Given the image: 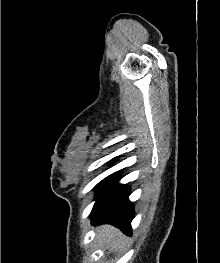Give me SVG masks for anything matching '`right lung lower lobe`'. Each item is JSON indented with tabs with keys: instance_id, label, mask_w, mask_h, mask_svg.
I'll return each instance as SVG.
<instances>
[{
	"instance_id": "1",
	"label": "right lung lower lobe",
	"mask_w": 220,
	"mask_h": 263,
	"mask_svg": "<svg viewBox=\"0 0 220 263\" xmlns=\"http://www.w3.org/2000/svg\"><path fill=\"white\" fill-rule=\"evenodd\" d=\"M119 173L116 172L98 185L96 203L91 212L93 225L110 223L131 236V221L134 218L132 203L128 200L129 188L118 184Z\"/></svg>"
}]
</instances>
